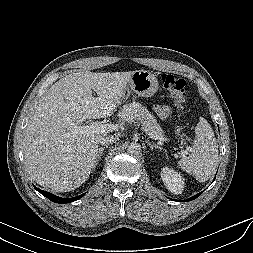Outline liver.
<instances>
[{
    "mask_svg": "<svg viewBox=\"0 0 253 253\" xmlns=\"http://www.w3.org/2000/svg\"><path fill=\"white\" fill-rule=\"evenodd\" d=\"M133 73L81 71L66 75L50 87L24 134V158L34 181L54 192H69L89 178L96 164L99 139L107 133H81L76 127L87 119L111 115Z\"/></svg>",
    "mask_w": 253,
    "mask_h": 253,
    "instance_id": "liver-1",
    "label": "liver"
}]
</instances>
